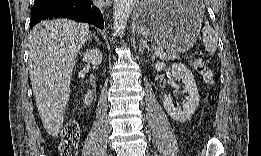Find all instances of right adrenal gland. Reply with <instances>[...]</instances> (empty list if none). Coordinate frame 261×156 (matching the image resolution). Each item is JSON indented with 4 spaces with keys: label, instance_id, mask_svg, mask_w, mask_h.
<instances>
[{
    "label": "right adrenal gland",
    "instance_id": "obj_1",
    "mask_svg": "<svg viewBox=\"0 0 261 156\" xmlns=\"http://www.w3.org/2000/svg\"><path fill=\"white\" fill-rule=\"evenodd\" d=\"M91 37H93L96 41H98V38H97V36H95V35H93V34H91Z\"/></svg>",
    "mask_w": 261,
    "mask_h": 156
}]
</instances>
